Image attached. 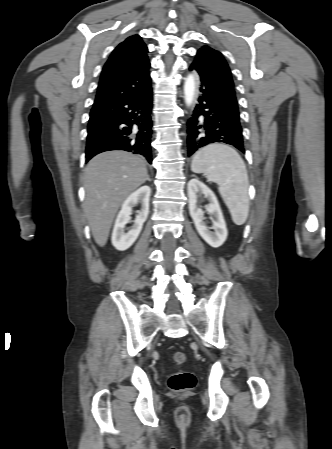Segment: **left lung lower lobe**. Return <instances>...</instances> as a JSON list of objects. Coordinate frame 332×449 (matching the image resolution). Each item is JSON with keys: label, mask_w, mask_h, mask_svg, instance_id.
<instances>
[{"label": "left lung lower lobe", "mask_w": 332, "mask_h": 449, "mask_svg": "<svg viewBox=\"0 0 332 449\" xmlns=\"http://www.w3.org/2000/svg\"><path fill=\"white\" fill-rule=\"evenodd\" d=\"M200 83L198 104L187 123L188 156L211 143H226L245 152L234 87L215 72L192 63Z\"/></svg>", "instance_id": "1"}]
</instances>
